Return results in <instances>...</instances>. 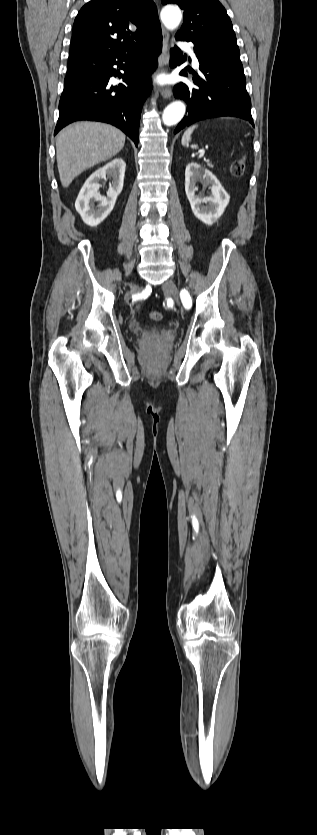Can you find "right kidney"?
Segmentation results:
<instances>
[{
    "instance_id": "1",
    "label": "right kidney",
    "mask_w": 317,
    "mask_h": 835,
    "mask_svg": "<svg viewBox=\"0 0 317 835\" xmlns=\"http://www.w3.org/2000/svg\"><path fill=\"white\" fill-rule=\"evenodd\" d=\"M125 168L126 163L121 158H116L87 178L75 201V208L84 223L92 227L97 226L111 213L117 196L123 189ZM106 176H112L113 180L107 196H102L99 192V181ZM92 200L99 204L95 205Z\"/></svg>"
}]
</instances>
